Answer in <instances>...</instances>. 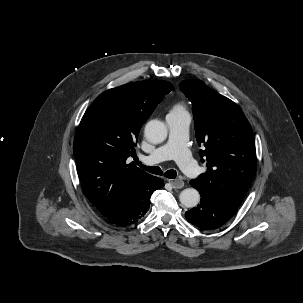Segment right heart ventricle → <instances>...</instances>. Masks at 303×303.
Masks as SVG:
<instances>
[{"mask_svg": "<svg viewBox=\"0 0 303 303\" xmlns=\"http://www.w3.org/2000/svg\"><path fill=\"white\" fill-rule=\"evenodd\" d=\"M184 113H187L185 107L182 104L178 103V104H175L171 108L168 115H171V114L172 115H179V114H184Z\"/></svg>", "mask_w": 303, "mask_h": 303, "instance_id": "e07e8e85", "label": "right heart ventricle"}]
</instances>
